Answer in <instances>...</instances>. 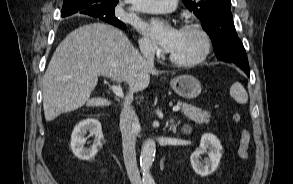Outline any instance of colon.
<instances>
[{"label":"colon","mask_w":293,"mask_h":184,"mask_svg":"<svg viewBox=\"0 0 293 184\" xmlns=\"http://www.w3.org/2000/svg\"><path fill=\"white\" fill-rule=\"evenodd\" d=\"M232 119L235 123H240L241 115L238 113L233 114ZM250 134L246 129L240 131V140L238 147V155L242 159L249 158Z\"/></svg>","instance_id":"1"}]
</instances>
